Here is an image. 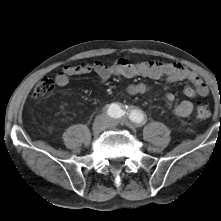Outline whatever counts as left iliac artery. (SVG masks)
Segmentation results:
<instances>
[{
    "instance_id": "left-iliac-artery-1",
    "label": "left iliac artery",
    "mask_w": 221,
    "mask_h": 221,
    "mask_svg": "<svg viewBox=\"0 0 221 221\" xmlns=\"http://www.w3.org/2000/svg\"><path fill=\"white\" fill-rule=\"evenodd\" d=\"M129 119L137 124H143L145 122V115L141 110H132Z\"/></svg>"
}]
</instances>
